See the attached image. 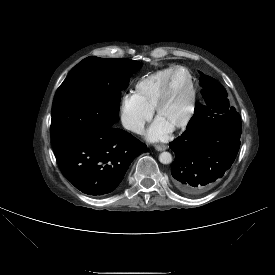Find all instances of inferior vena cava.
Wrapping results in <instances>:
<instances>
[{
    "label": "inferior vena cava",
    "instance_id": "1",
    "mask_svg": "<svg viewBox=\"0 0 275 275\" xmlns=\"http://www.w3.org/2000/svg\"><path fill=\"white\" fill-rule=\"evenodd\" d=\"M123 125L126 129L136 132L138 134H141L144 129V124L142 122L125 121Z\"/></svg>",
    "mask_w": 275,
    "mask_h": 275
}]
</instances>
